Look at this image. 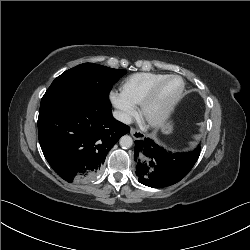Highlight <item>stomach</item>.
<instances>
[{
	"label": "stomach",
	"instance_id": "0dacf381",
	"mask_svg": "<svg viewBox=\"0 0 250 250\" xmlns=\"http://www.w3.org/2000/svg\"><path fill=\"white\" fill-rule=\"evenodd\" d=\"M172 129H173V127H172V124H170V123L165 124V125L163 126V128H162V130H163V132H164L165 134L171 133V132H172Z\"/></svg>",
	"mask_w": 250,
	"mask_h": 250
}]
</instances>
